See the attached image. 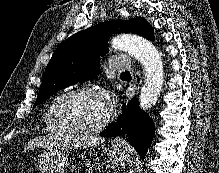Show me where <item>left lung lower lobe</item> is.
I'll list each match as a JSON object with an SVG mask.
<instances>
[{"label": "left lung lower lobe", "mask_w": 219, "mask_h": 173, "mask_svg": "<svg viewBox=\"0 0 219 173\" xmlns=\"http://www.w3.org/2000/svg\"><path fill=\"white\" fill-rule=\"evenodd\" d=\"M127 134L129 143L135 148L141 158H145L154 135V123L147 113L139 107L138 99H132L123 104L122 114L116 122L111 123L100 134L104 137Z\"/></svg>", "instance_id": "left-lung-lower-lobe-1"}]
</instances>
